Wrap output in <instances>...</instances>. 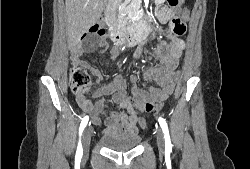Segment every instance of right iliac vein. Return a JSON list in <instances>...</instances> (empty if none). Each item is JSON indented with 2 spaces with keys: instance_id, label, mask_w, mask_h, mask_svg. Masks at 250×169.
<instances>
[{
  "instance_id": "obj_1",
  "label": "right iliac vein",
  "mask_w": 250,
  "mask_h": 169,
  "mask_svg": "<svg viewBox=\"0 0 250 169\" xmlns=\"http://www.w3.org/2000/svg\"><path fill=\"white\" fill-rule=\"evenodd\" d=\"M91 136H92V128L86 127L83 134V147L86 152L88 151L90 146Z\"/></svg>"
}]
</instances>
